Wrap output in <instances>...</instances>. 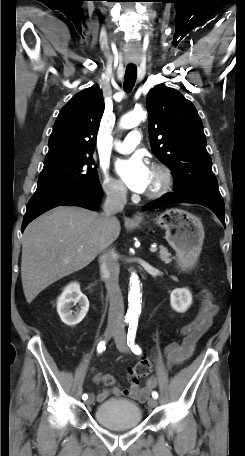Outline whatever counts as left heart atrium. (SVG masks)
Returning a JSON list of instances; mask_svg holds the SVG:
<instances>
[{"mask_svg":"<svg viewBox=\"0 0 245 456\" xmlns=\"http://www.w3.org/2000/svg\"><path fill=\"white\" fill-rule=\"evenodd\" d=\"M115 171L132 191L141 193L147 189L150 169L140 155L117 160Z\"/></svg>","mask_w":245,"mask_h":456,"instance_id":"1","label":"left heart atrium"}]
</instances>
